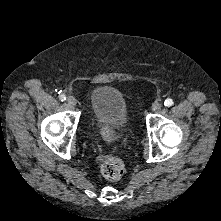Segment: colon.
<instances>
[{
	"instance_id": "5ec220e1",
	"label": "colon",
	"mask_w": 221,
	"mask_h": 221,
	"mask_svg": "<svg viewBox=\"0 0 221 221\" xmlns=\"http://www.w3.org/2000/svg\"><path fill=\"white\" fill-rule=\"evenodd\" d=\"M106 141L111 142L114 139V134L107 129L104 133ZM100 170L103 176L109 180H119L124 174V164L115 157L100 159Z\"/></svg>"
}]
</instances>
